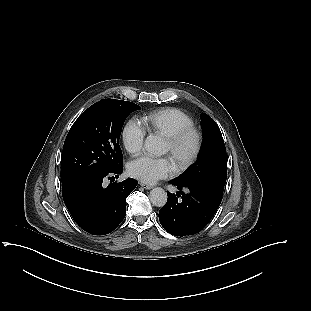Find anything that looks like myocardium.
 Here are the masks:
<instances>
[{"instance_id": "myocardium-1", "label": "myocardium", "mask_w": 311, "mask_h": 311, "mask_svg": "<svg viewBox=\"0 0 311 311\" xmlns=\"http://www.w3.org/2000/svg\"><path fill=\"white\" fill-rule=\"evenodd\" d=\"M187 138H191L192 145L190 150L183 156L176 159L175 165L178 168H185L190 165L197 157L201 146V135L197 128L189 126L182 128L175 133L165 137V141L170 148V156L174 157L178 146Z\"/></svg>"}]
</instances>
